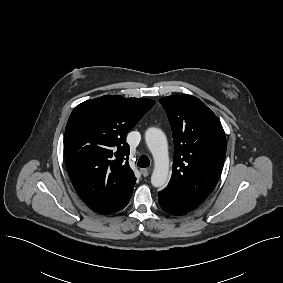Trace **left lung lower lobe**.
<instances>
[{
  "mask_svg": "<svg viewBox=\"0 0 283 283\" xmlns=\"http://www.w3.org/2000/svg\"><path fill=\"white\" fill-rule=\"evenodd\" d=\"M158 200L161 208L169 214L184 215L190 211L180 205L175 196L166 188L158 193Z\"/></svg>",
  "mask_w": 283,
  "mask_h": 283,
  "instance_id": "0a47b994",
  "label": "left lung lower lobe"
}]
</instances>
